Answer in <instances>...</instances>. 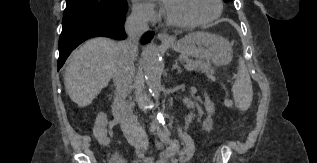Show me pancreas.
Segmentation results:
<instances>
[{
	"mask_svg": "<svg viewBox=\"0 0 317 163\" xmlns=\"http://www.w3.org/2000/svg\"><path fill=\"white\" fill-rule=\"evenodd\" d=\"M184 61L186 63L185 67L188 70L201 71L205 73L212 80H215V77L213 76L215 69L210 63L203 62L201 60H192L187 57H184Z\"/></svg>",
	"mask_w": 317,
	"mask_h": 163,
	"instance_id": "pancreas-1",
	"label": "pancreas"
}]
</instances>
